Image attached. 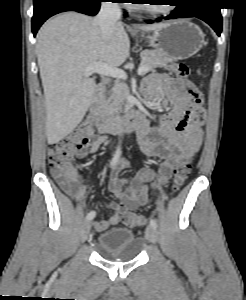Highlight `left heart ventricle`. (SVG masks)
<instances>
[{"label":"left heart ventricle","mask_w":246,"mask_h":300,"mask_svg":"<svg viewBox=\"0 0 246 300\" xmlns=\"http://www.w3.org/2000/svg\"><path fill=\"white\" fill-rule=\"evenodd\" d=\"M162 2H165V1H162ZM154 8H157V9H164V8H167V6H164V5H154L153 6Z\"/></svg>","instance_id":"1"}]
</instances>
